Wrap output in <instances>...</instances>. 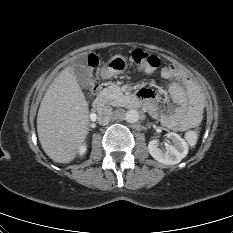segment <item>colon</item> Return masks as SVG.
<instances>
[{"label": "colon", "instance_id": "obj_1", "mask_svg": "<svg viewBox=\"0 0 233 233\" xmlns=\"http://www.w3.org/2000/svg\"><path fill=\"white\" fill-rule=\"evenodd\" d=\"M132 58L138 68L145 72H153L160 66V59L153 54H150L143 50H134L132 53ZM95 58H91V61H94ZM99 88V84L95 82L94 90ZM198 134L196 131L192 130L186 133L185 139L189 145L196 143Z\"/></svg>", "mask_w": 233, "mask_h": 233}]
</instances>
